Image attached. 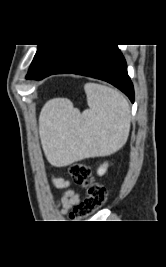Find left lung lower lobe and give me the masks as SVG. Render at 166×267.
<instances>
[{"label":"left lung lower lobe","instance_id":"obj_1","mask_svg":"<svg viewBox=\"0 0 166 267\" xmlns=\"http://www.w3.org/2000/svg\"><path fill=\"white\" fill-rule=\"evenodd\" d=\"M74 73L101 79L120 89L134 102L133 84L124 56L117 45H56L32 77L41 80L52 74Z\"/></svg>","mask_w":166,"mask_h":267}]
</instances>
